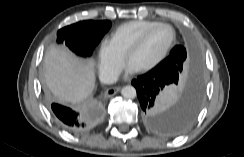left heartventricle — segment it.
I'll return each instance as SVG.
<instances>
[{
	"mask_svg": "<svg viewBox=\"0 0 244 157\" xmlns=\"http://www.w3.org/2000/svg\"><path fill=\"white\" fill-rule=\"evenodd\" d=\"M173 33L170 28L159 27L152 31L143 45L132 54L129 64L140 69L153 62L168 46Z\"/></svg>",
	"mask_w": 244,
	"mask_h": 157,
	"instance_id": "left-heart-ventricle-1",
	"label": "left heart ventricle"
}]
</instances>
